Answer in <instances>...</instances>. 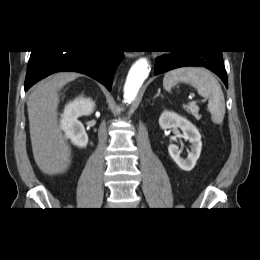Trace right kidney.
<instances>
[{"instance_id":"1","label":"right kidney","mask_w":260,"mask_h":260,"mask_svg":"<svg viewBox=\"0 0 260 260\" xmlns=\"http://www.w3.org/2000/svg\"><path fill=\"white\" fill-rule=\"evenodd\" d=\"M94 108L95 103L90 98L79 97L69 102L61 115L60 128L64 131L65 137L79 148L87 146L88 135L78 118L92 114Z\"/></svg>"}]
</instances>
